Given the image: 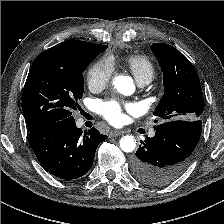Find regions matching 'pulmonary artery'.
I'll return each instance as SVG.
<instances>
[{
	"instance_id": "pulmonary-artery-1",
	"label": "pulmonary artery",
	"mask_w": 224,
	"mask_h": 224,
	"mask_svg": "<svg viewBox=\"0 0 224 224\" xmlns=\"http://www.w3.org/2000/svg\"><path fill=\"white\" fill-rule=\"evenodd\" d=\"M141 84H144V83H141ZM153 135H154L153 133L150 134V136H153Z\"/></svg>"
}]
</instances>
